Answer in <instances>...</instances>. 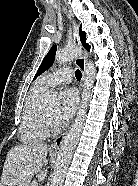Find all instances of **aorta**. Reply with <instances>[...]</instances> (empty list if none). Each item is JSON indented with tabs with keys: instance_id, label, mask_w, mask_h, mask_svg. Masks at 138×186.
Returning <instances> with one entry per match:
<instances>
[{
	"instance_id": "1",
	"label": "aorta",
	"mask_w": 138,
	"mask_h": 186,
	"mask_svg": "<svg viewBox=\"0 0 138 186\" xmlns=\"http://www.w3.org/2000/svg\"><path fill=\"white\" fill-rule=\"evenodd\" d=\"M81 49L77 47H67L59 50L55 56V62L58 64H65L70 62L80 56H82ZM96 75V69L91 61L86 63L85 69V80L83 84V90L81 95V104L79 111L72 124L69 132L64 137L62 142L54 171L51 175V185L50 186H62L65 178L67 168L71 162L73 151L78 143L81 131L85 123V117L88 108V101L91 98V88L94 85ZM51 98L53 101L59 100L57 92H52Z\"/></svg>"
}]
</instances>
